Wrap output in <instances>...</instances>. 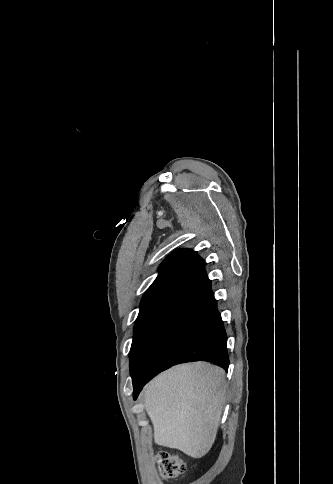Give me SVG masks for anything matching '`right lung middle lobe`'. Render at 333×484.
<instances>
[{"label":"right lung middle lobe","instance_id":"right-lung-middle-lobe-1","mask_svg":"<svg viewBox=\"0 0 333 484\" xmlns=\"http://www.w3.org/2000/svg\"><path fill=\"white\" fill-rule=\"evenodd\" d=\"M159 302L147 303L140 306V312L134 326V337L130 351V371L131 375L140 359V351L148 323Z\"/></svg>","mask_w":333,"mask_h":484}]
</instances>
